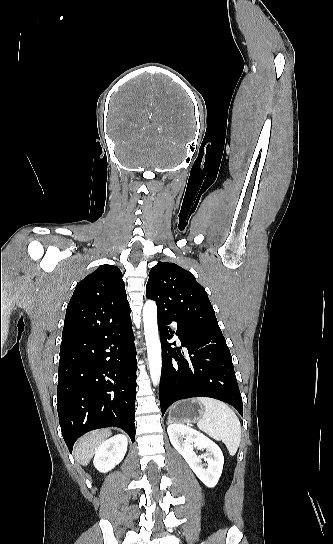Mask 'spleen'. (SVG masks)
<instances>
[{"instance_id": "3e777b00", "label": "spleen", "mask_w": 333, "mask_h": 544, "mask_svg": "<svg viewBox=\"0 0 333 544\" xmlns=\"http://www.w3.org/2000/svg\"><path fill=\"white\" fill-rule=\"evenodd\" d=\"M204 412L197 422L200 430L226 445L229 453L235 455L241 441V425L234 411L224 402L208 397H198Z\"/></svg>"}]
</instances>
